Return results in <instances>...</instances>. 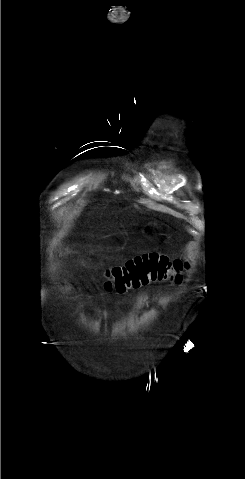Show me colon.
Masks as SVG:
<instances>
[{
	"instance_id": "colon-1",
	"label": "colon",
	"mask_w": 245,
	"mask_h": 479,
	"mask_svg": "<svg viewBox=\"0 0 245 479\" xmlns=\"http://www.w3.org/2000/svg\"><path fill=\"white\" fill-rule=\"evenodd\" d=\"M187 264L179 260H170L157 253H147L129 259L122 265L111 267L106 275L107 289L123 293L129 289L140 288L151 282L181 280V272Z\"/></svg>"
}]
</instances>
